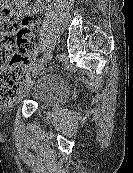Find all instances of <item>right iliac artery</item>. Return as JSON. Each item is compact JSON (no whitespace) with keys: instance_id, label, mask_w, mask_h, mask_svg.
<instances>
[{"instance_id":"1","label":"right iliac artery","mask_w":133,"mask_h":173,"mask_svg":"<svg viewBox=\"0 0 133 173\" xmlns=\"http://www.w3.org/2000/svg\"><path fill=\"white\" fill-rule=\"evenodd\" d=\"M48 56H50V52H47L46 55H45L42 59H39V60H37V61H33V62L29 65L30 69H32L33 66H35V65L37 64V62H40V61L44 60V59L47 58Z\"/></svg>"}]
</instances>
